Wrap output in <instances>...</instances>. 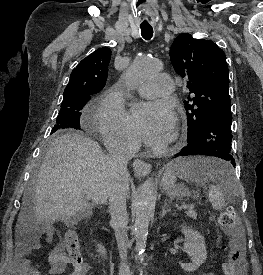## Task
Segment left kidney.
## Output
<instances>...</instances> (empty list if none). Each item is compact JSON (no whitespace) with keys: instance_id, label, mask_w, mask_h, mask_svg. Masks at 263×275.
<instances>
[{"instance_id":"left-kidney-1","label":"left kidney","mask_w":263,"mask_h":275,"mask_svg":"<svg viewBox=\"0 0 263 275\" xmlns=\"http://www.w3.org/2000/svg\"><path fill=\"white\" fill-rule=\"evenodd\" d=\"M181 232L185 236L184 251L191 258V263H180V266L186 272H194L206 261L205 239L200 232L193 231L187 226H183Z\"/></svg>"}]
</instances>
